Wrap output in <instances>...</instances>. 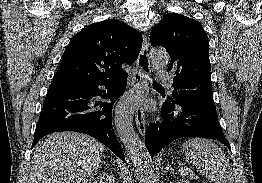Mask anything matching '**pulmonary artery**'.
<instances>
[{
	"mask_svg": "<svg viewBox=\"0 0 262 183\" xmlns=\"http://www.w3.org/2000/svg\"><path fill=\"white\" fill-rule=\"evenodd\" d=\"M158 79H159L160 82L168 85L169 87L172 86V80H171L170 77H168V76H159Z\"/></svg>",
	"mask_w": 262,
	"mask_h": 183,
	"instance_id": "obj_1",
	"label": "pulmonary artery"
}]
</instances>
